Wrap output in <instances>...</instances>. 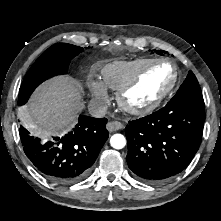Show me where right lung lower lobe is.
I'll return each mask as SVG.
<instances>
[{"instance_id": "right-lung-lower-lobe-1", "label": "right lung lower lobe", "mask_w": 221, "mask_h": 221, "mask_svg": "<svg viewBox=\"0 0 221 221\" xmlns=\"http://www.w3.org/2000/svg\"><path fill=\"white\" fill-rule=\"evenodd\" d=\"M106 123V118L80 115L71 132L52 141H41L23 126L19 134L23 150L36 170L53 182L68 184L89 173L109 136Z\"/></svg>"}]
</instances>
